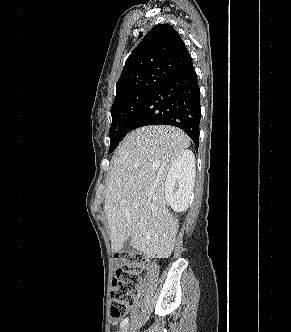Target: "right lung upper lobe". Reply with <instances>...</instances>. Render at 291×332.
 <instances>
[{
	"label": "right lung upper lobe",
	"instance_id": "cb5924a9",
	"mask_svg": "<svg viewBox=\"0 0 291 332\" xmlns=\"http://www.w3.org/2000/svg\"><path fill=\"white\" fill-rule=\"evenodd\" d=\"M191 63L180 35L170 24H158L127 58L116 84L115 100L147 89L154 81H162Z\"/></svg>",
	"mask_w": 291,
	"mask_h": 332
}]
</instances>
